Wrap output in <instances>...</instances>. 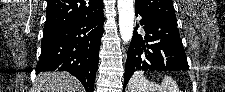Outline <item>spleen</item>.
<instances>
[{"label": "spleen", "mask_w": 225, "mask_h": 92, "mask_svg": "<svg viewBox=\"0 0 225 92\" xmlns=\"http://www.w3.org/2000/svg\"><path fill=\"white\" fill-rule=\"evenodd\" d=\"M127 92H180L176 82L169 76H164L162 83L150 82L143 71H136L128 85Z\"/></svg>", "instance_id": "3e777b00"}]
</instances>
